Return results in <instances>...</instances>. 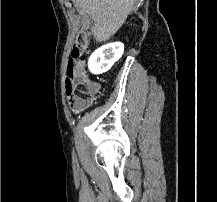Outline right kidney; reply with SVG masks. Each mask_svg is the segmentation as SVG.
Masks as SVG:
<instances>
[{
  "mask_svg": "<svg viewBox=\"0 0 217 202\" xmlns=\"http://www.w3.org/2000/svg\"><path fill=\"white\" fill-rule=\"evenodd\" d=\"M123 52L124 46L121 42H113V44L101 46L89 58L88 66L90 72H93V74L107 72L117 60H120Z\"/></svg>",
  "mask_w": 217,
  "mask_h": 202,
  "instance_id": "right-kidney-1",
  "label": "right kidney"
}]
</instances>
